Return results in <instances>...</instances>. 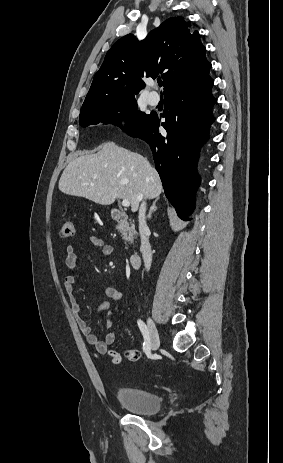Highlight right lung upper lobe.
<instances>
[{"mask_svg": "<svg viewBox=\"0 0 283 463\" xmlns=\"http://www.w3.org/2000/svg\"><path fill=\"white\" fill-rule=\"evenodd\" d=\"M190 26L183 17H171L140 42L132 34L119 39L107 52L83 105L134 97L145 86L142 77L160 74L165 94L209 75L211 63L206 60L205 47Z\"/></svg>", "mask_w": 283, "mask_h": 463, "instance_id": "1", "label": "right lung upper lobe"}]
</instances>
